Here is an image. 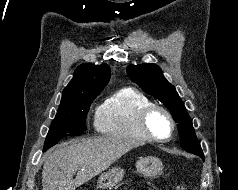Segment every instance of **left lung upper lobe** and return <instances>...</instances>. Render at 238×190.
I'll list each match as a JSON object with an SVG mask.
<instances>
[{
    "label": "left lung upper lobe",
    "instance_id": "1",
    "mask_svg": "<svg viewBox=\"0 0 238 190\" xmlns=\"http://www.w3.org/2000/svg\"><path fill=\"white\" fill-rule=\"evenodd\" d=\"M127 73L131 80L144 92L159 99L171 112L178 123L181 147L204 159L203 151L196 138L192 121L175 87L163 76L162 70L155 64L129 65Z\"/></svg>",
    "mask_w": 238,
    "mask_h": 190
}]
</instances>
